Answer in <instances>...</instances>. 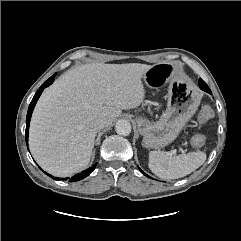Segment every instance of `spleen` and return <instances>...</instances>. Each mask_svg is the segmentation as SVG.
<instances>
[{
	"mask_svg": "<svg viewBox=\"0 0 241 241\" xmlns=\"http://www.w3.org/2000/svg\"><path fill=\"white\" fill-rule=\"evenodd\" d=\"M204 152H189L178 156H171L164 151L149 153V168L162 179H178L192 173L205 162Z\"/></svg>",
	"mask_w": 241,
	"mask_h": 241,
	"instance_id": "3e777b00",
	"label": "spleen"
}]
</instances>
